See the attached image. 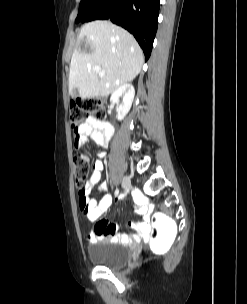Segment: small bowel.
I'll use <instances>...</instances> for the list:
<instances>
[{"label": "small bowel", "instance_id": "small-bowel-1", "mask_svg": "<svg viewBox=\"0 0 247 304\" xmlns=\"http://www.w3.org/2000/svg\"><path fill=\"white\" fill-rule=\"evenodd\" d=\"M74 144L78 149L75 150V155L79 156V162H88V155H82V150L85 148L86 143L91 140L98 146L106 148L113 135V127L109 122L101 121L93 118L87 119L82 125L79 126L77 133H74ZM99 159L93 165L92 174L85 185L82 196H79V206L87 219L91 222H96L94 230L86 236V239L91 242H97L106 238L113 241L123 242H146L151 233V216L150 207L143 201L142 197L138 195L136 208L139 214L144 216L140 222H131L129 225L135 229L137 234H119L117 233V225L107 219H101L111 205L112 198L107 193L108 184L103 182L98 188V197H90L92 187L96 185L101 178L103 171V161L105 152L98 154Z\"/></svg>", "mask_w": 247, "mask_h": 304}]
</instances>
